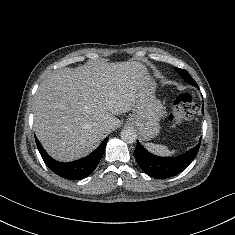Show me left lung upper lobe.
Instances as JSON below:
<instances>
[{
    "label": "left lung upper lobe",
    "instance_id": "1",
    "mask_svg": "<svg viewBox=\"0 0 235 235\" xmlns=\"http://www.w3.org/2000/svg\"><path fill=\"white\" fill-rule=\"evenodd\" d=\"M175 70L188 82L190 83L191 85H194L196 84V82L193 80V78L190 76V74L183 70V69H180V68H175Z\"/></svg>",
    "mask_w": 235,
    "mask_h": 235
}]
</instances>
